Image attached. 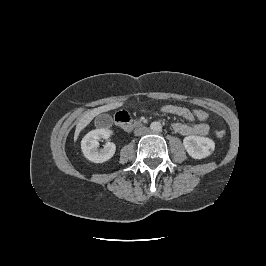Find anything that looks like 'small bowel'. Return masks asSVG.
<instances>
[{
  "label": "small bowel",
  "instance_id": "small-bowel-1",
  "mask_svg": "<svg viewBox=\"0 0 266 266\" xmlns=\"http://www.w3.org/2000/svg\"><path fill=\"white\" fill-rule=\"evenodd\" d=\"M162 112L169 115L179 116L188 121V123H174L172 128L176 133L181 135H205L209 131V126L205 123L196 122L193 113L186 107L166 105L162 107Z\"/></svg>",
  "mask_w": 266,
  "mask_h": 266
}]
</instances>
